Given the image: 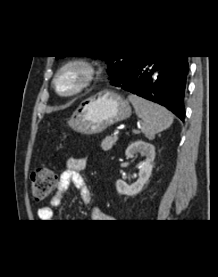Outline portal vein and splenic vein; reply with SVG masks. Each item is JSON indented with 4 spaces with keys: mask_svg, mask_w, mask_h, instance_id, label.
<instances>
[{
    "mask_svg": "<svg viewBox=\"0 0 218 277\" xmlns=\"http://www.w3.org/2000/svg\"><path fill=\"white\" fill-rule=\"evenodd\" d=\"M118 134H119V130H115L114 135H118Z\"/></svg>",
    "mask_w": 218,
    "mask_h": 277,
    "instance_id": "1",
    "label": "portal vein and splenic vein"
}]
</instances>
